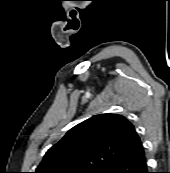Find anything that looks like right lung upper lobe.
<instances>
[{"instance_id":"1","label":"right lung upper lobe","mask_w":170,"mask_h":173,"mask_svg":"<svg viewBox=\"0 0 170 173\" xmlns=\"http://www.w3.org/2000/svg\"><path fill=\"white\" fill-rule=\"evenodd\" d=\"M142 147L135 127L124 116L100 114L69 130L46 152L35 173L104 171Z\"/></svg>"}]
</instances>
